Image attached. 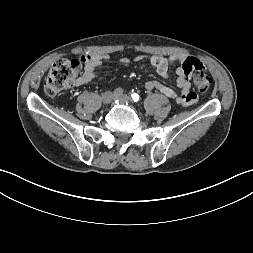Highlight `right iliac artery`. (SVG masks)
<instances>
[{
	"label": "right iliac artery",
	"instance_id": "1",
	"mask_svg": "<svg viewBox=\"0 0 253 253\" xmlns=\"http://www.w3.org/2000/svg\"><path fill=\"white\" fill-rule=\"evenodd\" d=\"M114 95H122L123 94V89L122 88H116L115 90H114Z\"/></svg>",
	"mask_w": 253,
	"mask_h": 253
}]
</instances>
